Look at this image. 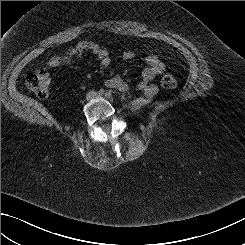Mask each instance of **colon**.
I'll return each mask as SVG.
<instances>
[{"label":"colon","mask_w":245,"mask_h":245,"mask_svg":"<svg viewBox=\"0 0 245 245\" xmlns=\"http://www.w3.org/2000/svg\"><path fill=\"white\" fill-rule=\"evenodd\" d=\"M51 83L52 75L47 69L37 70L26 78L27 87L41 99L49 97ZM161 86L164 89H174L177 86V81L173 75L166 74L161 79Z\"/></svg>","instance_id":"1"}]
</instances>
